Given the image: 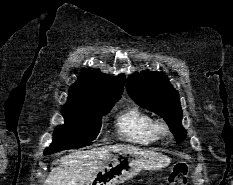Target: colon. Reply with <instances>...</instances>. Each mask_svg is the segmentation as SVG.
<instances>
[{"mask_svg":"<svg viewBox=\"0 0 233 185\" xmlns=\"http://www.w3.org/2000/svg\"><path fill=\"white\" fill-rule=\"evenodd\" d=\"M189 167L186 162L180 161L173 165L169 176V185H187Z\"/></svg>","mask_w":233,"mask_h":185,"instance_id":"colon-1","label":"colon"}]
</instances>
